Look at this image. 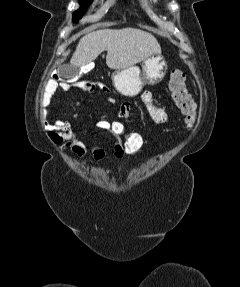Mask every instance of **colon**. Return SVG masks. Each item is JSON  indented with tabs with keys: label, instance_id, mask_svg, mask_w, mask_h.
Listing matches in <instances>:
<instances>
[{
	"label": "colon",
	"instance_id": "obj_1",
	"mask_svg": "<svg viewBox=\"0 0 240 287\" xmlns=\"http://www.w3.org/2000/svg\"><path fill=\"white\" fill-rule=\"evenodd\" d=\"M54 78L67 89L81 88L84 90H93L95 88V83L90 80L65 82L58 75H55ZM185 80V73L182 70L175 69L170 75L168 87L176 107L185 116L186 124L192 127L195 123V104L186 89ZM97 125L109 130L113 138L119 139L126 157L134 161L140 159L144 150V138L140 133L130 131L128 125L120 120H107L102 123L97 121Z\"/></svg>",
	"mask_w": 240,
	"mask_h": 287
}]
</instances>
